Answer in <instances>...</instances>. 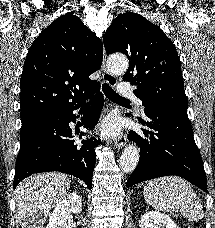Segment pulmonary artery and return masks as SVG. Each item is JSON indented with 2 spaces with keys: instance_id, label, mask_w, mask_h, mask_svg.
I'll return each instance as SVG.
<instances>
[{
  "instance_id": "obj_1",
  "label": "pulmonary artery",
  "mask_w": 215,
  "mask_h": 228,
  "mask_svg": "<svg viewBox=\"0 0 215 228\" xmlns=\"http://www.w3.org/2000/svg\"><path fill=\"white\" fill-rule=\"evenodd\" d=\"M133 89H135V84H116V93L118 96H132L129 98L130 102H136V109L144 113V106L141 97H135L133 94Z\"/></svg>"
}]
</instances>
